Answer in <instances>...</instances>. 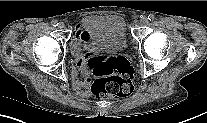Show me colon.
<instances>
[{"label": "colon", "instance_id": "colon-1", "mask_svg": "<svg viewBox=\"0 0 207 123\" xmlns=\"http://www.w3.org/2000/svg\"><path fill=\"white\" fill-rule=\"evenodd\" d=\"M88 67L96 77L91 91L97 98H121L131 93L133 68L126 58L95 56Z\"/></svg>", "mask_w": 207, "mask_h": 123}]
</instances>
